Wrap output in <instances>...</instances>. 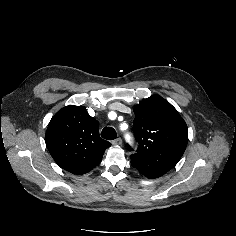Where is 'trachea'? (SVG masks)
I'll return each mask as SVG.
<instances>
[{
	"mask_svg": "<svg viewBox=\"0 0 236 236\" xmlns=\"http://www.w3.org/2000/svg\"><path fill=\"white\" fill-rule=\"evenodd\" d=\"M101 137L106 140H114L117 137V133L113 127H105L101 132Z\"/></svg>",
	"mask_w": 236,
	"mask_h": 236,
	"instance_id": "3493384b",
	"label": "trachea"
}]
</instances>
